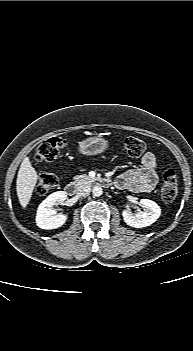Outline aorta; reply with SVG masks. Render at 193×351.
<instances>
[{
	"instance_id": "1",
	"label": "aorta",
	"mask_w": 193,
	"mask_h": 351,
	"mask_svg": "<svg viewBox=\"0 0 193 351\" xmlns=\"http://www.w3.org/2000/svg\"><path fill=\"white\" fill-rule=\"evenodd\" d=\"M92 194L95 197H99L103 194V189L100 186H94L92 189Z\"/></svg>"
}]
</instances>
